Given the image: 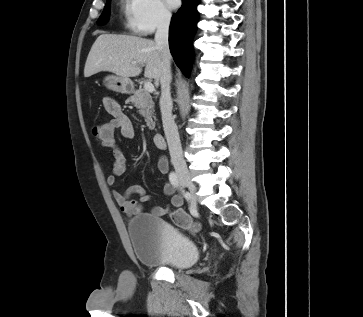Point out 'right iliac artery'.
<instances>
[{
    "label": "right iliac artery",
    "mask_w": 363,
    "mask_h": 317,
    "mask_svg": "<svg viewBox=\"0 0 363 317\" xmlns=\"http://www.w3.org/2000/svg\"><path fill=\"white\" fill-rule=\"evenodd\" d=\"M169 180H170L171 184H172L174 187H176V188L180 189V191H181L182 193H184V190H183V189L180 187V185H179V180H178V177H177L176 173L171 172V173H170V175H169Z\"/></svg>",
    "instance_id": "82829eb1"
}]
</instances>
